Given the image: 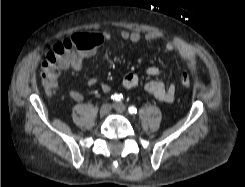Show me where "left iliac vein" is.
Wrapping results in <instances>:
<instances>
[{
	"instance_id": "left-iliac-vein-1",
	"label": "left iliac vein",
	"mask_w": 245,
	"mask_h": 187,
	"mask_svg": "<svg viewBox=\"0 0 245 187\" xmlns=\"http://www.w3.org/2000/svg\"><path fill=\"white\" fill-rule=\"evenodd\" d=\"M114 109L119 113H123L126 111L127 107L122 103H116Z\"/></svg>"
}]
</instances>
